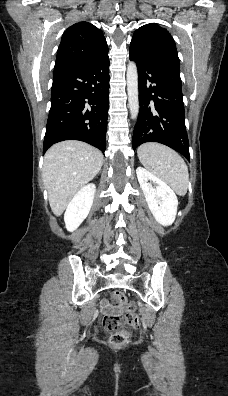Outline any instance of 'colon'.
<instances>
[{
  "label": "colon",
  "instance_id": "colon-1",
  "mask_svg": "<svg viewBox=\"0 0 228 396\" xmlns=\"http://www.w3.org/2000/svg\"><path fill=\"white\" fill-rule=\"evenodd\" d=\"M112 301L124 307L123 314L106 315L102 318L101 325L104 330L111 332L110 344L113 346L124 345L129 338L128 333L123 330L124 326L139 328L140 320L136 313L134 302H127L123 292L116 290L112 294Z\"/></svg>",
  "mask_w": 228,
  "mask_h": 396
}]
</instances>
